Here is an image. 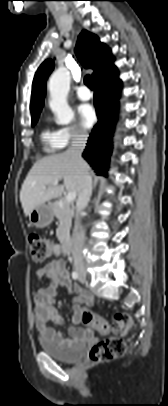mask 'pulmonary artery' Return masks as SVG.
<instances>
[{
  "label": "pulmonary artery",
  "instance_id": "e3ab8cb5",
  "mask_svg": "<svg viewBox=\"0 0 168 406\" xmlns=\"http://www.w3.org/2000/svg\"><path fill=\"white\" fill-rule=\"evenodd\" d=\"M76 95L78 99L82 101L90 100L92 97V93L86 86H81L77 89Z\"/></svg>",
  "mask_w": 168,
  "mask_h": 406
}]
</instances>
